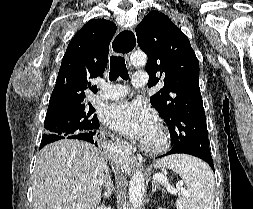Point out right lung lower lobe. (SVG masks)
I'll return each mask as SVG.
<instances>
[{
  "mask_svg": "<svg viewBox=\"0 0 253 209\" xmlns=\"http://www.w3.org/2000/svg\"><path fill=\"white\" fill-rule=\"evenodd\" d=\"M98 128H99V121L95 124L93 130H91L87 133H80V134L74 135V136H72L73 137L72 139H80V140L88 141L90 143L97 145L98 133H96V129H98Z\"/></svg>",
  "mask_w": 253,
  "mask_h": 209,
  "instance_id": "obj_1",
  "label": "right lung lower lobe"
}]
</instances>
